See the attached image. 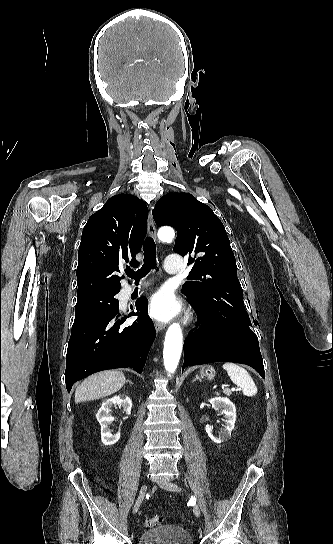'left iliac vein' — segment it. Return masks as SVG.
Returning <instances> with one entry per match:
<instances>
[{
    "label": "left iliac vein",
    "instance_id": "left-iliac-vein-1",
    "mask_svg": "<svg viewBox=\"0 0 333 544\" xmlns=\"http://www.w3.org/2000/svg\"><path fill=\"white\" fill-rule=\"evenodd\" d=\"M158 484H159V486L161 488H164V489L169 490V491H174V492L181 491V489H180V487L178 485H176L175 483H172L170 481H162V482H159ZM193 512H194L196 517L200 516V508L198 507V505L193 506Z\"/></svg>",
    "mask_w": 333,
    "mask_h": 544
}]
</instances>
